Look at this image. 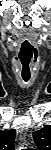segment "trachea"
<instances>
[{
    "mask_svg": "<svg viewBox=\"0 0 51 150\" xmlns=\"http://www.w3.org/2000/svg\"><path fill=\"white\" fill-rule=\"evenodd\" d=\"M25 82H27L29 80V78H23Z\"/></svg>",
    "mask_w": 51,
    "mask_h": 150,
    "instance_id": "obj_1",
    "label": "trachea"
}]
</instances>
